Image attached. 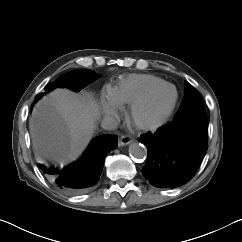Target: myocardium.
I'll return each instance as SVG.
<instances>
[{
	"label": "myocardium",
	"mask_w": 242,
	"mask_h": 242,
	"mask_svg": "<svg viewBox=\"0 0 242 242\" xmlns=\"http://www.w3.org/2000/svg\"><path fill=\"white\" fill-rule=\"evenodd\" d=\"M168 87L174 90L175 96L171 106L169 107V109L167 110L163 118L153 124H145L138 121L137 113L140 110V108H142L145 104H147L158 92ZM178 101H179V92L177 87L174 84L165 82L161 85L155 86L131 104L130 111H129L130 122L138 130L145 131V132L157 131L162 127H164L170 121V119L172 118L176 110Z\"/></svg>",
	"instance_id": "1"
}]
</instances>
